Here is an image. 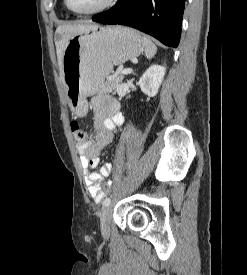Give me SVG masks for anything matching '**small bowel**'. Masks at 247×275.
<instances>
[{
	"label": "small bowel",
	"mask_w": 247,
	"mask_h": 275,
	"mask_svg": "<svg viewBox=\"0 0 247 275\" xmlns=\"http://www.w3.org/2000/svg\"><path fill=\"white\" fill-rule=\"evenodd\" d=\"M94 114V126L97 135L94 141H85L77 145L80 163L84 170V179L90 196L97 202L101 201L105 193L101 190V183L112 169V163H105L98 172L92 171L100 163L99 155L102 149L113 140L118 127L123 126L124 117L119 111V104L113 98L96 96L91 101Z\"/></svg>",
	"instance_id": "1"
}]
</instances>
